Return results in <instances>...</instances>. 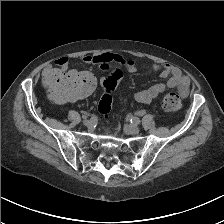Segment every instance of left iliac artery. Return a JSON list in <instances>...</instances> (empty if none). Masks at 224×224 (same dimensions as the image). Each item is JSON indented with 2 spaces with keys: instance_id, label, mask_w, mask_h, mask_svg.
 <instances>
[{
  "instance_id": "1",
  "label": "left iliac artery",
  "mask_w": 224,
  "mask_h": 224,
  "mask_svg": "<svg viewBox=\"0 0 224 224\" xmlns=\"http://www.w3.org/2000/svg\"><path fill=\"white\" fill-rule=\"evenodd\" d=\"M130 121H131V123H133L135 125H138L141 123L140 119L137 117H131Z\"/></svg>"
}]
</instances>
